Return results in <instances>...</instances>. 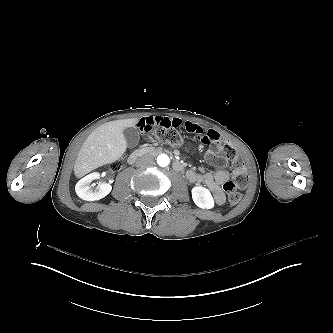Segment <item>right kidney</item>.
I'll return each instance as SVG.
<instances>
[{"label": "right kidney", "mask_w": 333, "mask_h": 333, "mask_svg": "<svg viewBox=\"0 0 333 333\" xmlns=\"http://www.w3.org/2000/svg\"><path fill=\"white\" fill-rule=\"evenodd\" d=\"M99 178L100 174L93 172L80 179L75 186L76 194L86 201L100 200L107 196L112 190V186L109 183H99L96 189L90 186L93 180Z\"/></svg>", "instance_id": "1"}]
</instances>
